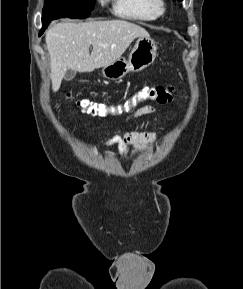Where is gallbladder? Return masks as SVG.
Segmentation results:
<instances>
[{"mask_svg": "<svg viewBox=\"0 0 243 289\" xmlns=\"http://www.w3.org/2000/svg\"><path fill=\"white\" fill-rule=\"evenodd\" d=\"M76 75V72L74 70L68 69L65 73L64 79L66 81H71Z\"/></svg>", "mask_w": 243, "mask_h": 289, "instance_id": "bac80fb5", "label": "gallbladder"}]
</instances>
